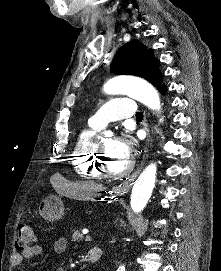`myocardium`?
I'll use <instances>...</instances> for the list:
<instances>
[{
	"label": "myocardium",
	"instance_id": "obj_1",
	"mask_svg": "<svg viewBox=\"0 0 221 271\" xmlns=\"http://www.w3.org/2000/svg\"><path fill=\"white\" fill-rule=\"evenodd\" d=\"M103 150L106 148L104 145L101 147ZM107 158H101L99 160V166H98V171L102 173L103 178L107 179H123L125 175H128L129 172H135L137 169L136 165H133L136 163V158H129V161H126V167L124 170H119V173H113L112 170H108L107 166L104 165L107 163Z\"/></svg>",
	"mask_w": 221,
	"mask_h": 271
}]
</instances>
